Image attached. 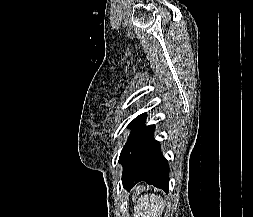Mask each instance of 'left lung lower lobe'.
I'll return each mask as SVG.
<instances>
[{"label":"left lung lower lobe","mask_w":253,"mask_h":217,"mask_svg":"<svg viewBox=\"0 0 253 217\" xmlns=\"http://www.w3.org/2000/svg\"><path fill=\"white\" fill-rule=\"evenodd\" d=\"M146 114L133 126L123 147L119 162L123 165V187L130 190L136 183L169 190V165L161 153L160 143L153 139L154 125L144 126Z\"/></svg>","instance_id":"0a47b994"}]
</instances>
